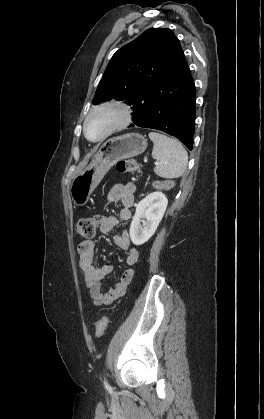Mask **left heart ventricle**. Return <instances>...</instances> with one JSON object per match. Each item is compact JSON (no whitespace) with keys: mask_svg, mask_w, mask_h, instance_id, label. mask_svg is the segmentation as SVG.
I'll list each match as a JSON object with an SVG mask.
<instances>
[{"mask_svg":"<svg viewBox=\"0 0 264 419\" xmlns=\"http://www.w3.org/2000/svg\"><path fill=\"white\" fill-rule=\"evenodd\" d=\"M115 112L103 111L94 114L88 122L87 133L89 138L97 139L117 120Z\"/></svg>","mask_w":264,"mask_h":419,"instance_id":"left-heart-ventricle-1","label":"left heart ventricle"}]
</instances>
